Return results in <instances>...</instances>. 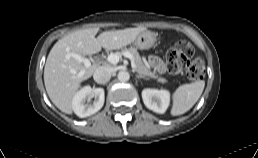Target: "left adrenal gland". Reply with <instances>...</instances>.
Masks as SVG:
<instances>
[{
  "mask_svg": "<svg viewBox=\"0 0 258 158\" xmlns=\"http://www.w3.org/2000/svg\"><path fill=\"white\" fill-rule=\"evenodd\" d=\"M137 78H145L144 76H142V75H135ZM145 79H148V78H145Z\"/></svg>",
  "mask_w": 258,
  "mask_h": 158,
  "instance_id": "left-adrenal-gland-1",
  "label": "left adrenal gland"
}]
</instances>
